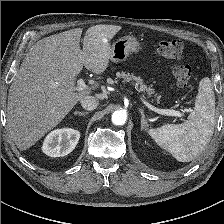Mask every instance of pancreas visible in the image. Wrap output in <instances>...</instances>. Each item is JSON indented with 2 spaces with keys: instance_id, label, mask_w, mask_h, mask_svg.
<instances>
[{
  "instance_id": "obj_1",
  "label": "pancreas",
  "mask_w": 224,
  "mask_h": 224,
  "mask_svg": "<svg viewBox=\"0 0 224 224\" xmlns=\"http://www.w3.org/2000/svg\"><path fill=\"white\" fill-rule=\"evenodd\" d=\"M119 78H123V80L127 82H130V81L136 82L137 84L141 85L142 91L146 92L149 95L153 93V90L147 87V85L143 83V79H141L140 77H136L130 73L117 72L116 79H119Z\"/></svg>"
}]
</instances>
